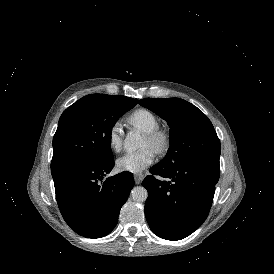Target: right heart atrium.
Listing matches in <instances>:
<instances>
[{
    "mask_svg": "<svg viewBox=\"0 0 274 274\" xmlns=\"http://www.w3.org/2000/svg\"><path fill=\"white\" fill-rule=\"evenodd\" d=\"M108 145L111 150L119 151L122 147L121 129L118 123L110 126L107 134Z\"/></svg>",
    "mask_w": 274,
    "mask_h": 274,
    "instance_id": "right-heart-atrium-1",
    "label": "right heart atrium"
}]
</instances>
